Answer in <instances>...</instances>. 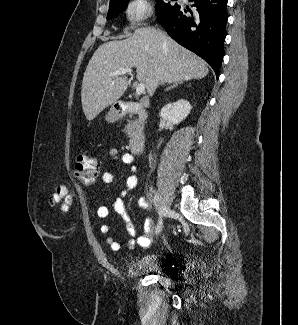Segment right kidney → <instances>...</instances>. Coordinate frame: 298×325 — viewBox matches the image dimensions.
I'll use <instances>...</instances> for the list:
<instances>
[{
	"mask_svg": "<svg viewBox=\"0 0 298 325\" xmlns=\"http://www.w3.org/2000/svg\"><path fill=\"white\" fill-rule=\"evenodd\" d=\"M192 106L189 100L185 98H180L176 102H168L162 106L159 116L164 118V120H169L171 124H179L181 120H184L188 116Z\"/></svg>",
	"mask_w": 298,
	"mask_h": 325,
	"instance_id": "1",
	"label": "right kidney"
}]
</instances>
